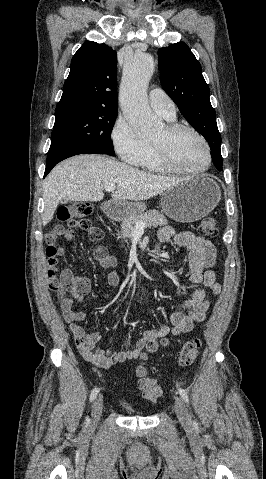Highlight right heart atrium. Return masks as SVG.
I'll return each instance as SVG.
<instances>
[{
    "label": "right heart atrium",
    "instance_id": "right-heart-atrium-1",
    "mask_svg": "<svg viewBox=\"0 0 266 479\" xmlns=\"http://www.w3.org/2000/svg\"><path fill=\"white\" fill-rule=\"evenodd\" d=\"M110 137L115 152L126 163L137 165L148 152L149 143L137 135L123 116L116 119Z\"/></svg>",
    "mask_w": 266,
    "mask_h": 479
}]
</instances>
